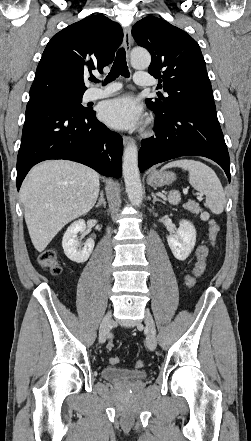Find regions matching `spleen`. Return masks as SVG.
Returning <instances> with one entry per match:
<instances>
[{
	"instance_id": "1",
	"label": "spleen",
	"mask_w": 251,
	"mask_h": 441,
	"mask_svg": "<svg viewBox=\"0 0 251 441\" xmlns=\"http://www.w3.org/2000/svg\"><path fill=\"white\" fill-rule=\"evenodd\" d=\"M180 167L189 172L191 186L206 196V206L214 213L221 214L224 210L226 199L219 178L208 165L193 159H179L167 163L163 169ZM181 200L180 193L176 190L168 195V201L177 205Z\"/></svg>"
}]
</instances>
